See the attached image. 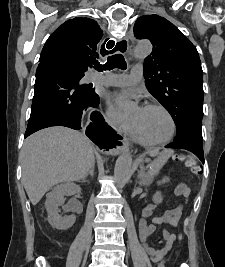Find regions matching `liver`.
<instances>
[{"instance_id": "1", "label": "liver", "mask_w": 225, "mask_h": 267, "mask_svg": "<svg viewBox=\"0 0 225 267\" xmlns=\"http://www.w3.org/2000/svg\"><path fill=\"white\" fill-rule=\"evenodd\" d=\"M95 148L80 132L51 127L29 136L22 148V182L32 205L61 182L83 179Z\"/></svg>"}]
</instances>
